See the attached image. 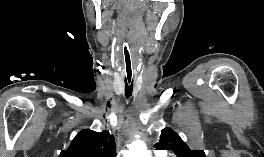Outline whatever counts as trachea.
<instances>
[{
  "mask_svg": "<svg viewBox=\"0 0 264 157\" xmlns=\"http://www.w3.org/2000/svg\"><path fill=\"white\" fill-rule=\"evenodd\" d=\"M123 53V79L125 83V96L128 98L133 93L134 68L130 48L127 44L122 47Z\"/></svg>",
  "mask_w": 264,
  "mask_h": 157,
  "instance_id": "3493384b",
  "label": "trachea"
}]
</instances>
